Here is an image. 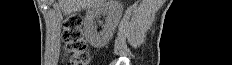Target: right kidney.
Segmentation results:
<instances>
[{"instance_id":"ca27d5eb","label":"right kidney","mask_w":232,"mask_h":65,"mask_svg":"<svg viewBox=\"0 0 232 65\" xmlns=\"http://www.w3.org/2000/svg\"><path fill=\"white\" fill-rule=\"evenodd\" d=\"M123 13L119 0H100L89 7L84 20V35L95 48L104 47L112 38ZM106 16L102 31L96 32L95 19Z\"/></svg>"}]
</instances>
